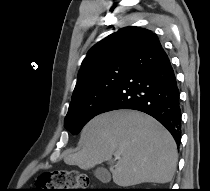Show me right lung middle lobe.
Segmentation results:
<instances>
[{
  "instance_id": "right-lung-middle-lobe-1",
  "label": "right lung middle lobe",
  "mask_w": 210,
  "mask_h": 191,
  "mask_svg": "<svg viewBox=\"0 0 210 191\" xmlns=\"http://www.w3.org/2000/svg\"><path fill=\"white\" fill-rule=\"evenodd\" d=\"M130 61L113 62L96 71L79 90L73 93L64 126L77 134L94 116L116 88Z\"/></svg>"
}]
</instances>
